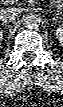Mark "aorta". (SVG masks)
<instances>
[{"label":"aorta","mask_w":63,"mask_h":107,"mask_svg":"<svg viewBox=\"0 0 63 107\" xmlns=\"http://www.w3.org/2000/svg\"><path fill=\"white\" fill-rule=\"evenodd\" d=\"M40 25V17L37 14H27L24 17V26L28 29H35Z\"/></svg>","instance_id":"obj_1"}]
</instances>
